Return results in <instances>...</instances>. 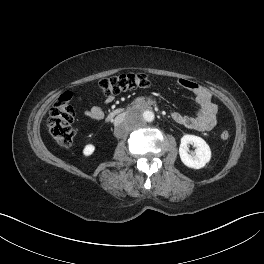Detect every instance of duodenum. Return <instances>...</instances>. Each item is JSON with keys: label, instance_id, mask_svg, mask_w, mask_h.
<instances>
[{"label": "duodenum", "instance_id": "410a0bca", "mask_svg": "<svg viewBox=\"0 0 264 264\" xmlns=\"http://www.w3.org/2000/svg\"><path fill=\"white\" fill-rule=\"evenodd\" d=\"M149 103L150 101L148 100L144 102H140L138 109L145 110L146 108L149 107ZM124 115H125V111L123 109H114L108 114V119L111 120V119H114V117L116 116H124Z\"/></svg>", "mask_w": 264, "mask_h": 264}]
</instances>
